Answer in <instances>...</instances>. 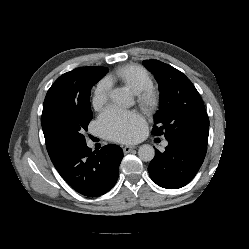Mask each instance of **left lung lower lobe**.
Segmentation results:
<instances>
[{
	"mask_svg": "<svg viewBox=\"0 0 249 249\" xmlns=\"http://www.w3.org/2000/svg\"><path fill=\"white\" fill-rule=\"evenodd\" d=\"M161 153L155 149V157L148 171L159 186L177 189L187 185L196 175L206 155L207 147L188 142L168 141Z\"/></svg>",
	"mask_w": 249,
	"mask_h": 249,
	"instance_id": "obj_1",
	"label": "left lung lower lobe"
}]
</instances>
